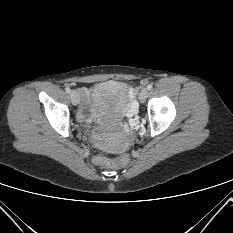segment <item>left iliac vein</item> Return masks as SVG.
Listing matches in <instances>:
<instances>
[{
    "label": "left iliac vein",
    "mask_w": 233,
    "mask_h": 233,
    "mask_svg": "<svg viewBox=\"0 0 233 233\" xmlns=\"http://www.w3.org/2000/svg\"><path fill=\"white\" fill-rule=\"evenodd\" d=\"M147 95H148V90L147 88H143L140 93H139V101L141 103H144L146 101V98H147Z\"/></svg>",
    "instance_id": "4c4485c4"
}]
</instances>
